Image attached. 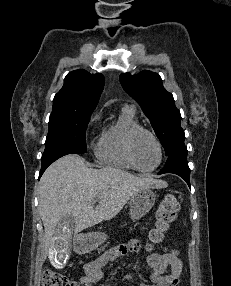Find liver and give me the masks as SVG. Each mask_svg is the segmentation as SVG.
Segmentation results:
<instances>
[{"instance_id": "obj_1", "label": "liver", "mask_w": 231, "mask_h": 286, "mask_svg": "<svg viewBox=\"0 0 231 286\" xmlns=\"http://www.w3.org/2000/svg\"><path fill=\"white\" fill-rule=\"evenodd\" d=\"M167 182L136 177L117 168H88L79 155H66L50 165L40 180L39 213L45 248L52 247L60 220L75 218L74 235L114 218L131 196L143 189H162ZM99 203L94 208L95 200Z\"/></svg>"}]
</instances>
